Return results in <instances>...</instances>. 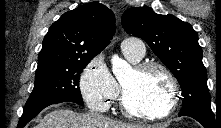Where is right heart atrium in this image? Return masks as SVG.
<instances>
[{
	"label": "right heart atrium",
	"mask_w": 221,
	"mask_h": 128,
	"mask_svg": "<svg viewBox=\"0 0 221 128\" xmlns=\"http://www.w3.org/2000/svg\"><path fill=\"white\" fill-rule=\"evenodd\" d=\"M80 91L88 107L96 113L104 112L116 98L119 87L103 57H92L80 76Z\"/></svg>",
	"instance_id": "1"
}]
</instances>
